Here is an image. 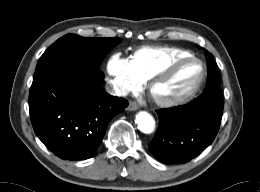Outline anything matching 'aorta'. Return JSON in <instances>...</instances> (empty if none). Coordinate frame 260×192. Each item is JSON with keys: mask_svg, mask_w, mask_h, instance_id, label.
<instances>
[{"mask_svg": "<svg viewBox=\"0 0 260 192\" xmlns=\"http://www.w3.org/2000/svg\"><path fill=\"white\" fill-rule=\"evenodd\" d=\"M135 122L142 133L150 134L155 129V120L148 112H138Z\"/></svg>", "mask_w": 260, "mask_h": 192, "instance_id": "obj_1", "label": "aorta"}]
</instances>
